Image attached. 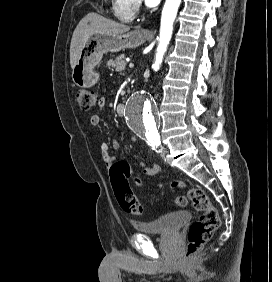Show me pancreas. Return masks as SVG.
Returning <instances> with one entry per match:
<instances>
[{"mask_svg": "<svg viewBox=\"0 0 272 282\" xmlns=\"http://www.w3.org/2000/svg\"><path fill=\"white\" fill-rule=\"evenodd\" d=\"M126 57L125 55H120L115 58V60L111 59L107 62V65L112 70H115L117 72H122L126 68Z\"/></svg>", "mask_w": 272, "mask_h": 282, "instance_id": "obj_1", "label": "pancreas"}]
</instances>
